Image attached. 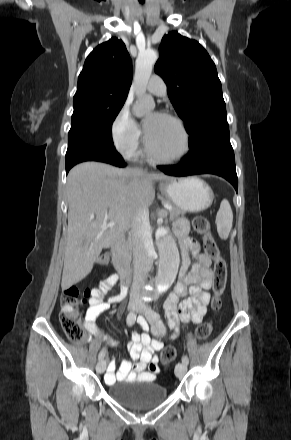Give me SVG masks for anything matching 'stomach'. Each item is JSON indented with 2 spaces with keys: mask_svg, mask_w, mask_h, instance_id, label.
Returning <instances> with one entry per match:
<instances>
[{
  "mask_svg": "<svg viewBox=\"0 0 291 440\" xmlns=\"http://www.w3.org/2000/svg\"><path fill=\"white\" fill-rule=\"evenodd\" d=\"M160 190L170 203L186 212L203 211L214 199L211 187L198 177L171 178L160 185Z\"/></svg>",
  "mask_w": 291,
  "mask_h": 440,
  "instance_id": "obj_1",
  "label": "stomach"
}]
</instances>
